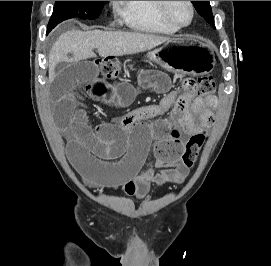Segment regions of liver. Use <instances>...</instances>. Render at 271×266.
I'll list each match as a JSON object with an SVG mask.
<instances>
[{
  "instance_id": "liver-1",
  "label": "liver",
  "mask_w": 271,
  "mask_h": 266,
  "mask_svg": "<svg viewBox=\"0 0 271 266\" xmlns=\"http://www.w3.org/2000/svg\"><path fill=\"white\" fill-rule=\"evenodd\" d=\"M169 40V37L138 32L68 31L62 34L51 48L49 83L57 76L56 62H77L95 57V48L98 54L105 58L144 52Z\"/></svg>"
}]
</instances>
